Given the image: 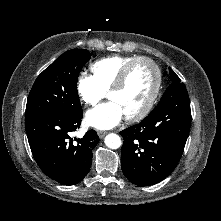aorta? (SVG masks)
Returning a JSON list of instances; mask_svg holds the SVG:
<instances>
[{"label": "aorta", "mask_w": 221, "mask_h": 221, "mask_svg": "<svg viewBox=\"0 0 221 221\" xmlns=\"http://www.w3.org/2000/svg\"><path fill=\"white\" fill-rule=\"evenodd\" d=\"M105 145L110 149H117L121 146V139L117 134L111 133L105 137Z\"/></svg>", "instance_id": "obj_1"}]
</instances>
